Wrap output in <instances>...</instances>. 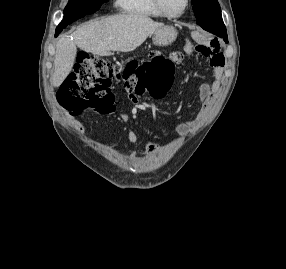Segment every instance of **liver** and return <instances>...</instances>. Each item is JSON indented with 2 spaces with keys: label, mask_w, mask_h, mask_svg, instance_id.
I'll list each match as a JSON object with an SVG mask.
<instances>
[{
  "label": "liver",
  "mask_w": 286,
  "mask_h": 269,
  "mask_svg": "<svg viewBox=\"0 0 286 269\" xmlns=\"http://www.w3.org/2000/svg\"><path fill=\"white\" fill-rule=\"evenodd\" d=\"M164 26L142 14L114 15L90 21L56 44L52 84L59 87L74 65L77 46L94 55L106 56L111 51L130 52L139 47L156 29Z\"/></svg>",
  "instance_id": "liver-1"
}]
</instances>
